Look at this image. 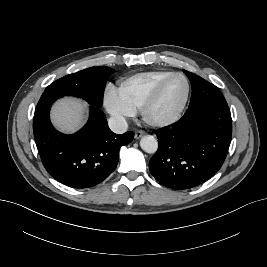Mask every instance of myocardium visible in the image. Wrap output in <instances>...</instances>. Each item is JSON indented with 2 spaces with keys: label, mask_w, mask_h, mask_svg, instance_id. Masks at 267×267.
Returning a JSON list of instances; mask_svg holds the SVG:
<instances>
[{
  "label": "myocardium",
  "mask_w": 267,
  "mask_h": 267,
  "mask_svg": "<svg viewBox=\"0 0 267 267\" xmlns=\"http://www.w3.org/2000/svg\"><path fill=\"white\" fill-rule=\"evenodd\" d=\"M175 77H181L182 79H184V81L186 83L185 96H184L180 106L176 109V111H174L169 116H166L163 118L152 117L151 116V110L154 107V105L157 103L164 87L171 79H173ZM190 91H191L190 81L184 74L172 73V74L166 76L156 85V87L153 89L151 94L148 96V98L145 100V102L141 106L140 113H141L143 120L148 125L153 126V127H166V126H169V125L175 123L176 121L179 120V118L181 117V115L183 114V112L187 106L189 96H190Z\"/></svg>",
  "instance_id": "myocardium-1"
}]
</instances>
